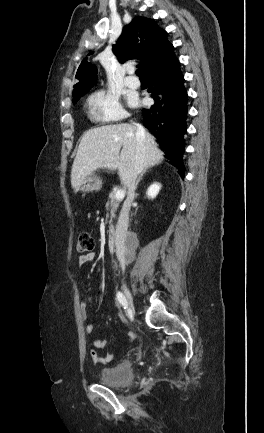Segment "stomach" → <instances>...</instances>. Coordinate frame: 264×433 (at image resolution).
<instances>
[{
	"mask_svg": "<svg viewBox=\"0 0 264 433\" xmlns=\"http://www.w3.org/2000/svg\"><path fill=\"white\" fill-rule=\"evenodd\" d=\"M102 187V181L99 177L90 175L85 178L80 186V191L84 193L99 191Z\"/></svg>",
	"mask_w": 264,
	"mask_h": 433,
	"instance_id": "obj_1",
	"label": "stomach"
}]
</instances>
